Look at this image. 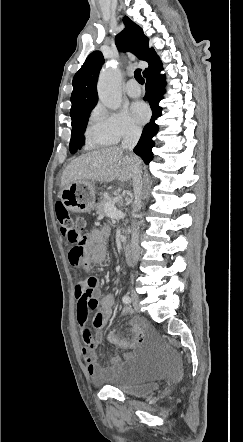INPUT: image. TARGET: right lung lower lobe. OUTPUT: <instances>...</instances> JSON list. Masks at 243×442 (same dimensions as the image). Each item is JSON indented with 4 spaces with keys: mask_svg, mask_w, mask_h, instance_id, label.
<instances>
[{
    "mask_svg": "<svg viewBox=\"0 0 243 442\" xmlns=\"http://www.w3.org/2000/svg\"><path fill=\"white\" fill-rule=\"evenodd\" d=\"M161 70L162 62L158 61L152 68L144 73L146 78V94L144 99L150 104L152 117L150 122L145 125L140 140L134 148V152L143 159L145 164H149L153 159L152 147L154 146V141L152 138L158 131V125L155 124V120L161 116L162 111V108L158 105L165 93V76L160 74Z\"/></svg>",
    "mask_w": 243,
    "mask_h": 442,
    "instance_id": "right-lung-lower-lobe-1",
    "label": "right lung lower lobe"
}]
</instances>
